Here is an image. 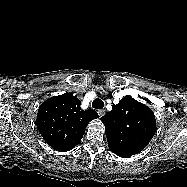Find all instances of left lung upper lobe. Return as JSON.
<instances>
[{"label":"left lung upper lobe","instance_id":"obj_1","mask_svg":"<svg viewBox=\"0 0 187 187\" xmlns=\"http://www.w3.org/2000/svg\"><path fill=\"white\" fill-rule=\"evenodd\" d=\"M101 121L110 150L116 155L129 158L140 153L156 132V119L152 110L131 96H125L113 104Z\"/></svg>","mask_w":187,"mask_h":187}]
</instances>
